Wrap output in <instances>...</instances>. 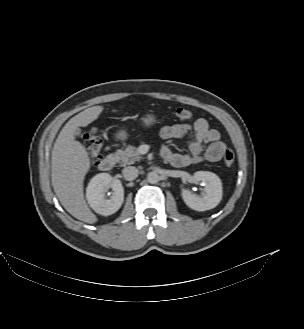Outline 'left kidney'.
I'll return each mask as SVG.
<instances>
[{
    "label": "left kidney",
    "mask_w": 304,
    "mask_h": 329,
    "mask_svg": "<svg viewBox=\"0 0 304 329\" xmlns=\"http://www.w3.org/2000/svg\"><path fill=\"white\" fill-rule=\"evenodd\" d=\"M193 178L197 182L205 184L202 196L192 194L190 190H182V198L185 204L196 211L210 210L216 207L222 199V183L220 178L208 171H197Z\"/></svg>",
    "instance_id": "5707ae66"
}]
</instances>
